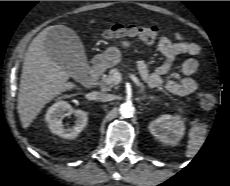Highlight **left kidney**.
Segmentation results:
<instances>
[{
	"label": "left kidney",
	"mask_w": 230,
	"mask_h": 186,
	"mask_svg": "<svg viewBox=\"0 0 230 186\" xmlns=\"http://www.w3.org/2000/svg\"><path fill=\"white\" fill-rule=\"evenodd\" d=\"M150 133L165 144H177L185 132V125L179 115H161L149 126Z\"/></svg>",
	"instance_id": "5707ae66"
}]
</instances>
